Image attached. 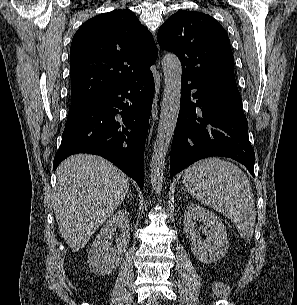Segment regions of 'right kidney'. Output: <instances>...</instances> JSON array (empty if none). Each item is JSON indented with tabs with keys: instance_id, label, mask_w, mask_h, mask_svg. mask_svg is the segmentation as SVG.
I'll list each match as a JSON object with an SVG mask.
<instances>
[{
	"instance_id": "right-kidney-1",
	"label": "right kidney",
	"mask_w": 297,
	"mask_h": 305,
	"mask_svg": "<svg viewBox=\"0 0 297 305\" xmlns=\"http://www.w3.org/2000/svg\"><path fill=\"white\" fill-rule=\"evenodd\" d=\"M117 229L120 230L119 234H115ZM129 240V213L121 209L104 224L96 236L88 255L90 270L98 275L110 274L119 266Z\"/></svg>"
}]
</instances>
